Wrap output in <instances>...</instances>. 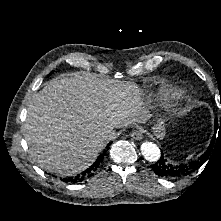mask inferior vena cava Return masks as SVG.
<instances>
[{"label":"inferior vena cava","mask_w":221,"mask_h":221,"mask_svg":"<svg viewBox=\"0 0 221 221\" xmlns=\"http://www.w3.org/2000/svg\"><path fill=\"white\" fill-rule=\"evenodd\" d=\"M116 136V132L114 129H108L104 132L103 137L107 140H112Z\"/></svg>","instance_id":"1"}]
</instances>
